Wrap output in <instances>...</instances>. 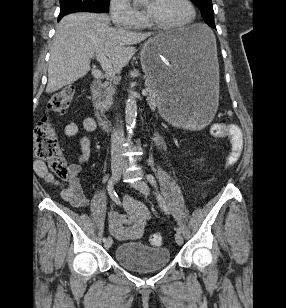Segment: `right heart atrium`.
<instances>
[{"instance_id":"d8ad5b80","label":"right heart atrium","mask_w":286,"mask_h":308,"mask_svg":"<svg viewBox=\"0 0 286 308\" xmlns=\"http://www.w3.org/2000/svg\"><path fill=\"white\" fill-rule=\"evenodd\" d=\"M109 11L112 23L119 28L135 29L145 22L142 14L136 11L127 0H110Z\"/></svg>"}]
</instances>
